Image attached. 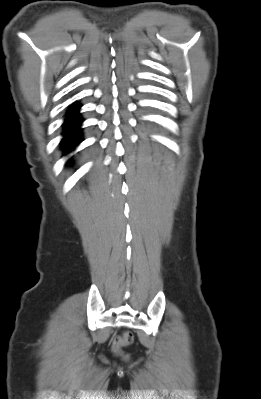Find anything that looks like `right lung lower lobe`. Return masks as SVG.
I'll return each mask as SVG.
<instances>
[{"mask_svg":"<svg viewBox=\"0 0 261 399\" xmlns=\"http://www.w3.org/2000/svg\"><path fill=\"white\" fill-rule=\"evenodd\" d=\"M80 105L74 104L67 112L66 119L63 124L64 134L61 141L66 152L73 150L81 141V133L79 125L82 119L78 113Z\"/></svg>","mask_w":261,"mask_h":399,"instance_id":"obj_1","label":"right lung lower lobe"}]
</instances>
